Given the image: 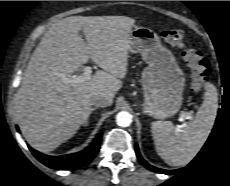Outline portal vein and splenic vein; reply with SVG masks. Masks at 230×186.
<instances>
[{"label": "portal vein and splenic vein", "instance_id": "obj_1", "mask_svg": "<svg viewBox=\"0 0 230 186\" xmlns=\"http://www.w3.org/2000/svg\"><path fill=\"white\" fill-rule=\"evenodd\" d=\"M91 73H92V68L90 66H86L83 70V74L82 75H72L70 78L66 79L67 82L73 86H76L79 83H82L86 80H89L91 77ZM192 118V114L191 113H187L182 111L180 113V117H179V121L182 122V126H185V120L186 119H191Z\"/></svg>", "mask_w": 230, "mask_h": 186}]
</instances>
